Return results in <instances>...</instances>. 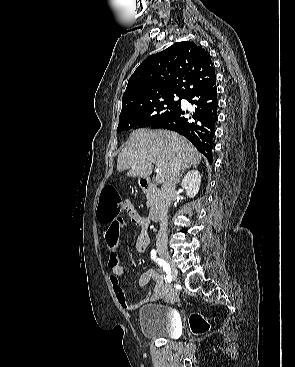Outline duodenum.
Instances as JSON below:
<instances>
[{
    "instance_id": "1",
    "label": "duodenum",
    "mask_w": 295,
    "mask_h": 367,
    "mask_svg": "<svg viewBox=\"0 0 295 367\" xmlns=\"http://www.w3.org/2000/svg\"><path fill=\"white\" fill-rule=\"evenodd\" d=\"M141 189L153 197V204L150 209L149 218L152 221L158 220L164 210V203L161 190L147 177L140 179Z\"/></svg>"
}]
</instances>
